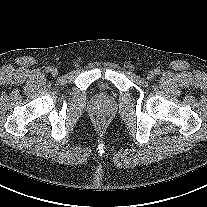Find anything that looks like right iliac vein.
Listing matches in <instances>:
<instances>
[{
	"label": "right iliac vein",
	"mask_w": 207,
	"mask_h": 207,
	"mask_svg": "<svg viewBox=\"0 0 207 207\" xmlns=\"http://www.w3.org/2000/svg\"><path fill=\"white\" fill-rule=\"evenodd\" d=\"M51 74H52L53 76H57V75H58V70L55 69V68H53V69L51 70Z\"/></svg>",
	"instance_id": "1"
}]
</instances>
